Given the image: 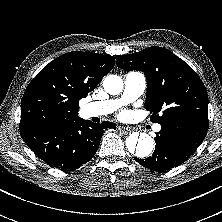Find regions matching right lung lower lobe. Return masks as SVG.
Masks as SVG:
<instances>
[{
	"label": "right lung lower lobe",
	"instance_id": "right-lung-lower-lobe-1",
	"mask_svg": "<svg viewBox=\"0 0 222 222\" xmlns=\"http://www.w3.org/2000/svg\"><path fill=\"white\" fill-rule=\"evenodd\" d=\"M114 123L78 120L69 125H40L20 131L29 148L49 166L74 170L96 154L104 130Z\"/></svg>",
	"mask_w": 222,
	"mask_h": 222
}]
</instances>
